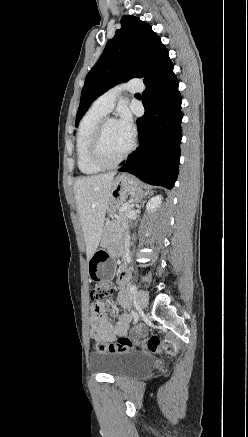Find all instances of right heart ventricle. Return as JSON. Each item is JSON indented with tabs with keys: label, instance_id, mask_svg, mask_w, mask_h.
I'll use <instances>...</instances> for the list:
<instances>
[{
	"label": "right heart ventricle",
	"instance_id": "1",
	"mask_svg": "<svg viewBox=\"0 0 248 437\" xmlns=\"http://www.w3.org/2000/svg\"><path fill=\"white\" fill-rule=\"evenodd\" d=\"M105 115L106 113L91 107L80 121L76 137L77 165L85 175L97 174L102 170L91 160L89 148L94 131Z\"/></svg>",
	"mask_w": 248,
	"mask_h": 437
}]
</instances>
